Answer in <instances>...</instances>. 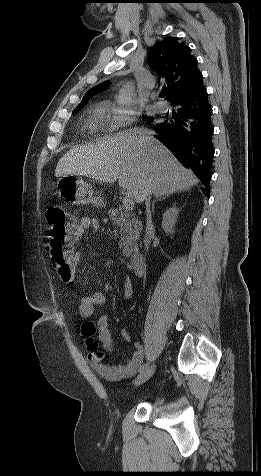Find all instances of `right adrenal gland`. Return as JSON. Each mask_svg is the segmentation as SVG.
Segmentation results:
<instances>
[{"instance_id":"obj_1","label":"right adrenal gland","mask_w":261,"mask_h":476,"mask_svg":"<svg viewBox=\"0 0 261 476\" xmlns=\"http://www.w3.org/2000/svg\"><path fill=\"white\" fill-rule=\"evenodd\" d=\"M165 198H166V196L158 197L157 199H155V200L152 202V212H154L155 202H156V201L165 200Z\"/></svg>"}]
</instances>
